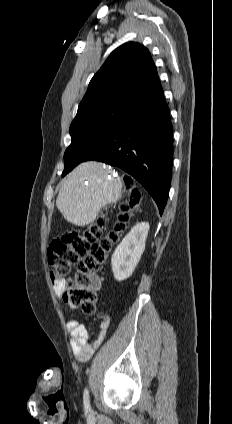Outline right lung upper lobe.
Returning a JSON list of instances; mask_svg holds the SVG:
<instances>
[{
	"label": "right lung upper lobe",
	"instance_id": "obj_1",
	"mask_svg": "<svg viewBox=\"0 0 232 424\" xmlns=\"http://www.w3.org/2000/svg\"><path fill=\"white\" fill-rule=\"evenodd\" d=\"M160 90L149 51L138 43H126L110 54L91 79L77 113L109 103L133 105Z\"/></svg>",
	"mask_w": 232,
	"mask_h": 424
}]
</instances>
